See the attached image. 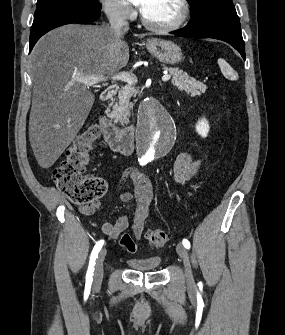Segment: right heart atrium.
<instances>
[{
  "mask_svg": "<svg viewBox=\"0 0 285 335\" xmlns=\"http://www.w3.org/2000/svg\"><path fill=\"white\" fill-rule=\"evenodd\" d=\"M102 6L108 20L113 23H127L136 16L132 1H103Z\"/></svg>",
  "mask_w": 285,
  "mask_h": 335,
  "instance_id": "right-heart-atrium-1",
  "label": "right heart atrium"
}]
</instances>
